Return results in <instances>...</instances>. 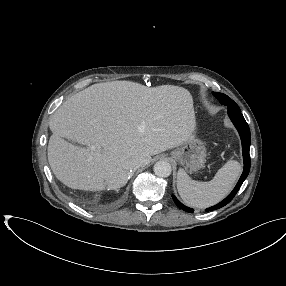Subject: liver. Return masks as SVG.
Instances as JSON below:
<instances>
[{"label": "liver", "instance_id": "6515ba94", "mask_svg": "<svg viewBox=\"0 0 286 286\" xmlns=\"http://www.w3.org/2000/svg\"><path fill=\"white\" fill-rule=\"evenodd\" d=\"M49 128L48 162L56 178L72 189L101 191L123 187L135 162L145 166L151 156L193 140L196 120L183 87L112 81L70 97Z\"/></svg>", "mask_w": 286, "mask_h": 286}]
</instances>
